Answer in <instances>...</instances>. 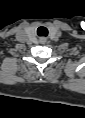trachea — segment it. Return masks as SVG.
Returning a JSON list of instances; mask_svg holds the SVG:
<instances>
[{"label": "trachea", "mask_w": 85, "mask_h": 118, "mask_svg": "<svg viewBox=\"0 0 85 118\" xmlns=\"http://www.w3.org/2000/svg\"><path fill=\"white\" fill-rule=\"evenodd\" d=\"M37 34H38V36H47L48 29L46 27L41 26L37 29Z\"/></svg>", "instance_id": "3493384b"}]
</instances>
